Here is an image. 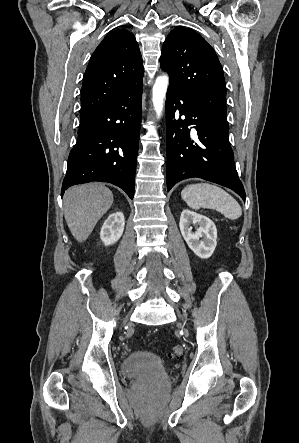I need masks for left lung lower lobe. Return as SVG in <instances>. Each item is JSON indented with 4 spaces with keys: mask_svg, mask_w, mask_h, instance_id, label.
Masks as SVG:
<instances>
[{
    "mask_svg": "<svg viewBox=\"0 0 299 443\" xmlns=\"http://www.w3.org/2000/svg\"><path fill=\"white\" fill-rule=\"evenodd\" d=\"M167 188L198 177L232 189L245 200L229 143L227 117L169 85L166 98ZM189 126L197 133L190 134Z\"/></svg>",
    "mask_w": 299,
    "mask_h": 443,
    "instance_id": "0a47b994",
    "label": "left lung lower lobe"
}]
</instances>
